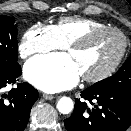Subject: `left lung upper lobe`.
<instances>
[{"label": "left lung upper lobe", "mask_w": 131, "mask_h": 131, "mask_svg": "<svg viewBox=\"0 0 131 131\" xmlns=\"http://www.w3.org/2000/svg\"><path fill=\"white\" fill-rule=\"evenodd\" d=\"M103 91H125L131 93V55L113 76L91 86Z\"/></svg>", "instance_id": "5c2ea615"}]
</instances>
